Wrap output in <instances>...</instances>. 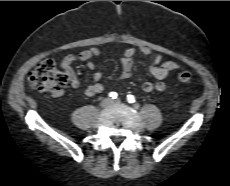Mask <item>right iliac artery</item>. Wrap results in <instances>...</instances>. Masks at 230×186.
<instances>
[{
    "label": "right iliac artery",
    "instance_id": "obj_1",
    "mask_svg": "<svg viewBox=\"0 0 230 186\" xmlns=\"http://www.w3.org/2000/svg\"><path fill=\"white\" fill-rule=\"evenodd\" d=\"M109 97H110L111 99H116V98H117V93H116V92H110V93H109Z\"/></svg>",
    "mask_w": 230,
    "mask_h": 186
}]
</instances>
